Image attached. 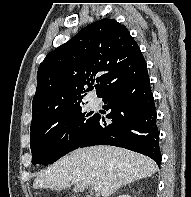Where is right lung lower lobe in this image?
Instances as JSON below:
<instances>
[{
	"mask_svg": "<svg viewBox=\"0 0 191 197\" xmlns=\"http://www.w3.org/2000/svg\"><path fill=\"white\" fill-rule=\"evenodd\" d=\"M99 97L106 116H96L95 122L79 147L113 145L123 147L152 158L160 167L159 131L156 110L147 66L109 86ZM78 147V148H79Z\"/></svg>",
	"mask_w": 191,
	"mask_h": 197,
	"instance_id": "98d812e1",
	"label": "right lung lower lobe"
}]
</instances>
